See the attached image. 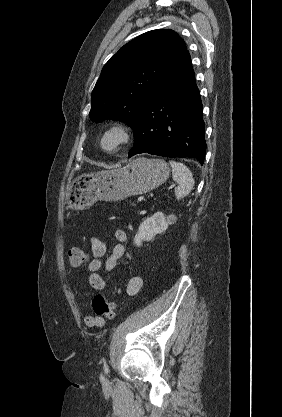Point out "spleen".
<instances>
[{
	"label": "spleen",
	"instance_id": "3e777b00",
	"mask_svg": "<svg viewBox=\"0 0 282 417\" xmlns=\"http://www.w3.org/2000/svg\"><path fill=\"white\" fill-rule=\"evenodd\" d=\"M170 166H172L173 180L178 182V186H175V196L180 200L187 196L191 192L194 186V178L191 170L183 164V162H176V160H170Z\"/></svg>",
	"mask_w": 282,
	"mask_h": 417
}]
</instances>
